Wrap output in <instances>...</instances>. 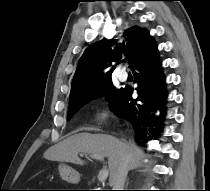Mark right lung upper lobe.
I'll list each match as a JSON object with an SVG mask.
<instances>
[{"label": "right lung upper lobe", "mask_w": 210, "mask_h": 191, "mask_svg": "<svg viewBox=\"0 0 210 191\" xmlns=\"http://www.w3.org/2000/svg\"><path fill=\"white\" fill-rule=\"evenodd\" d=\"M153 41L149 31L139 26L126 29L114 41L101 40L81 56L71 85L70 100L84 95L111 79L114 63L122 57L131 67L138 55Z\"/></svg>", "instance_id": "obj_1"}]
</instances>
